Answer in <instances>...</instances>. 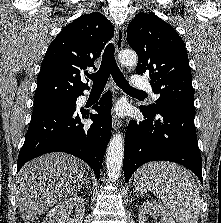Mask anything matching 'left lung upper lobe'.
<instances>
[{
  "label": "left lung upper lobe",
  "mask_w": 221,
  "mask_h": 223,
  "mask_svg": "<svg viewBox=\"0 0 221 223\" xmlns=\"http://www.w3.org/2000/svg\"><path fill=\"white\" fill-rule=\"evenodd\" d=\"M128 44L138 55L137 74L149 73L160 98L143 106L150 112L178 107L195 112L194 90L185 44L172 26L154 13H139L129 23Z\"/></svg>",
  "instance_id": "1"
}]
</instances>
